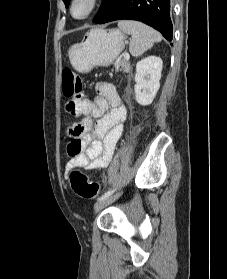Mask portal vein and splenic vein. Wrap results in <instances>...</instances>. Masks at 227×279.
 Returning a JSON list of instances; mask_svg holds the SVG:
<instances>
[{"instance_id":"18ae733b","label":"portal vein and splenic vein","mask_w":227,"mask_h":279,"mask_svg":"<svg viewBox=\"0 0 227 279\" xmlns=\"http://www.w3.org/2000/svg\"><path fill=\"white\" fill-rule=\"evenodd\" d=\"M124 59L127 61L130 59V55L127 52L124 53Z\"/></svg>"}]
</instances>
